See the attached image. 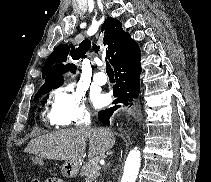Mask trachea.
I'll use <instances>...</instances> for the list:
<instances>
[{
  "label": "trachea",
  "mask_w": 211,
  "mask_h": 182,
  "mask_svg": "<svg viewBox=\"0 0 211 182\" xmlns=\"http://www.w3.org/2000/svg\"><path fill=\"white\" fill-rule=\"evenodd\" d=\"M106 72L108 76H114V71L108 62L106 63Z\"/></svg>",
  "instance_id": "obj_1"
}]
</instances>
